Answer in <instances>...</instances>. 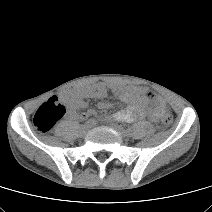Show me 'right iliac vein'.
I'll return each instance as SVG.
<instances>
[{
    "instance_id": "right-iliac-vein-1",
    "label": "right iliac vein",
    "mask_w": 212,
    "mask_h": 212,
    "mask_svg": "<svg viewBox=\"0 0 212 212\" xmlns=\"http://www.w3.org/2000/svg\"><path fill=\"white\" fill-rule=\"evenodd\" d=\"M91 127H90V125H83V126H81V128H80V135H85L88 131H89V129H90Z\"/></svg>"
}]
</instances>
